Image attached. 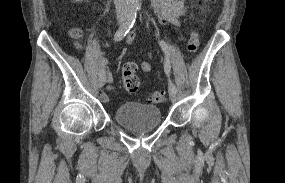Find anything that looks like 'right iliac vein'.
I'll list each match as a JSON object with an SVG mask.
<instances>
[{
	"label": "right iliac vein",
	"mask_w": 285,
	"mask_h": 183,
	"mask_svg": "<svg viewBox=\"0 0 285 183\" xmlns=\"http://www.w3.org/2000/svg\"><path fill=\"white\" fill-rule=\"evenodd\" d=\"M119 23L123 24L124 19L123 18L119 19ZM104 84H105V78L103 76H99L98 81H97L98 87L101 88Z\"/></svg>",
	"instance_id": "obj_1"
}]
</instances>
